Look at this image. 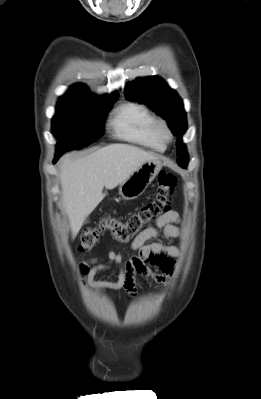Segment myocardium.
Segmentation results:
<instances>
[{"mask_svg": "<svg viewBox=\"0 0 261 399\" xmlns=\"http://www.w3.org/2000/svg\"><path fill=\"white\" fill-rule=\"evenodd\" d=\"M156 132L163 143H170L173 140V133L170 127L162 119H157Z\"/></svg>", "mask_w": 261, "mask_h": 399, "instance_id": "myocardium-1", "label": "myocardium"}]
</instances>
